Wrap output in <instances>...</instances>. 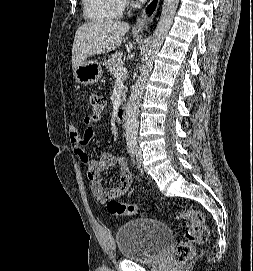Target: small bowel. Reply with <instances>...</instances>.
<instances>
[{
	"label": "small bowel",
	"mask_w": 253,
	"mask_h": 271,
	"mask_svg": "<svg viewBox=\"0 0 253 271\" xmlns=\"http://www.w3.org/2000/svg\"><path fill=\"white\" fill-rule=\"evenodd\" d=\"M100 114H91L84 118L82 132L75 126L68 127V136L73 154L86 166V174L90 180V188L93 196L99 203L118 198L125 194L131 186L132 176L123 157L104 153L98 158H91L84 150V145L89 143L96 135V124L100 121ZM117 167L119 169V182L109 191L103 188V179L100 173Z\"/></svg>",
	"instance_id": "obj_1"
}]
</instances>
